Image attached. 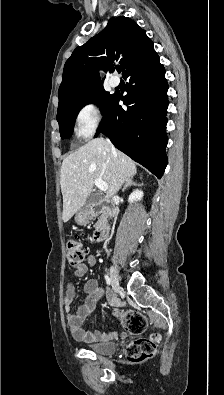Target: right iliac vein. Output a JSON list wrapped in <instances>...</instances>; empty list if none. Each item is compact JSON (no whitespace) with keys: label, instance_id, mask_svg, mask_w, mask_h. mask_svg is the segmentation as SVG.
I'll return each instance as SVG.
<instances>
[{"label":"right iliac vein","instance_id":"63e3f726","mask_svg":"<svg viewBox=\"0 0 224 395\" xmlns=\"http://www.w3.org/2000/svg\"><path fill=\"white\" fill-rule=\"evenodd\" d=\"M110 278H111L114 289L116 291H119L121 289V286L119 283L117 270H116L115 266H113V265L110 266Z\"/></svg>","mask_w":224,"mask_h":395}]
</instances>
